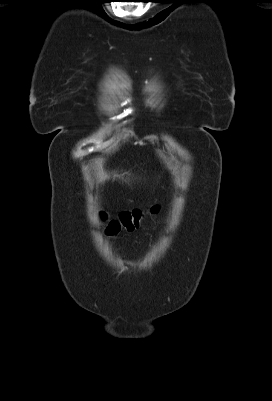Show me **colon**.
<instances>
[{
  "mask_svg": "<svg viewBox=\"0 0 272 401\" xmlns=\"http://www.w3.org/2000/svg\"><path fill=\"white\" fill-rule=\"evenodd\" d=\"M152 212H157V209H153ZM101 217L107 221L105 215H101ZM144 217L145 212L137 209L122 212L117 218L107 221L106 230L110 235H117L122 231H134L140 227Z\"/></svg>",
  "mask_w": 272,
  "mask_h": 401,
  "instance_id": "1",
  "label": "colon"
}]
</instances>
